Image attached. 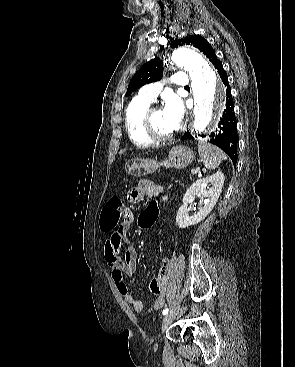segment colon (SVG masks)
<instances>
[{"label":"colon","instance_id":"5ec220e1","mask_svg":"<svg viewBox=\"0 0 295 367\" xmlns=\"http://www.w3.org/2000/svg\"><path fill=\"white\" fill-rule=\"evenodd\" d=\"M155 195H148L145 210L141 213L139 218V224L143 228L151 227L155 221L158 220L159 212L163 210V207L159 205L161 202ZM125 208L122 200L119 197H112L105 204L101 216L100 227L103 231L113 230L122 216H124Z\"/></svg>","mask_w":295,"mask_h":367}]
</instances>
